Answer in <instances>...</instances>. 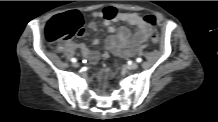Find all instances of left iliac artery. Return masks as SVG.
<instances>
[{"instance_id":"44dca946","label":"left iliac artery","mask_w":218,"mask_h":122,"mask_svg":"<svg viewBox=\"0 0 218 122\" xmlns=\"http://www.w3.org/2000/svg\"><path fill=\"white\" fill-rule=\"evenodd\" d=\"M136 61H137L138 63H140V62H142V59H141V58H137Z\"/></svg>"}]
</instances>
